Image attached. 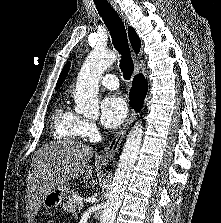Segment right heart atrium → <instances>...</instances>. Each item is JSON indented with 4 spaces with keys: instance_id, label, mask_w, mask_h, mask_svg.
<instances>
[{
    "instance_id": "1",
    "label": "right heart atrium",
    "mask_w": 221,
    "mask_h": 223,
    "mask_svg": "<svg viewBox=\"0 0 221 223\" xmlns=\"http://www.w3.org/2000/svg\"><path fill=\"white\" fill-rule=\"evenodd\" d=\"M81 132L84 137L93 138L98 133V128L93 121L82 119Z\"/></svg>"
}]
</instances>
